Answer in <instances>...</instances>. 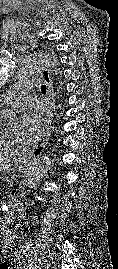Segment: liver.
I'll return each mask as SVG.
<instances>
[{
  "label": "liver",
  "instance_id": "6515ba94",
  "mask_svg": "<svg viewBox=\"0 0 118 269\" xmlns=\"http://www.w3.org/2000/svg\"><path fill=\"white\" fill-rule=\"evenodd\" d=\"M18 165L17 160L0 157V171L10 170L12 166Z\"/></svg>",
  "mask_w": 118,
  "mask_h": 269
}]
</instances>
